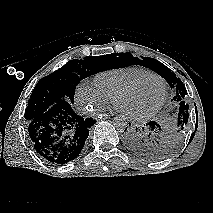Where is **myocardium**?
<instances>
[{
	"mask_svg": "<svg viewBox=\"0 0 213 213\" xmlns=\"http://www.w3.org/2000/svg\"><path fill=\"white\" fill-rule=\"evenodd\" d=\"M148 77H154L157 78L161 81L162 85H163V97L161 99V101L151 110L142 113V114H138V115H134V114H129L123 111L124 115L126 117H128L131 120H145L148 118H151L152 116H154L164 105L167 96H168V86H167V82L165 81V79L160 76L157 73L154 72H148L145 73L143 75H140L138 77H136L135 79H133L132 81H130L129 83H127L125 86H123L121 89H119L115 95L113 96V102L116 106H118V100L125 95L126 93H128L129 91H131L132 89H134L138 84H140L144 79L148 78Z\"/></svg>",
	"mask_w": 213,
	"mask_h": 213,
	"instance_id": "myocardium-1",
	"label": "myocardium"
}]
</instances>
